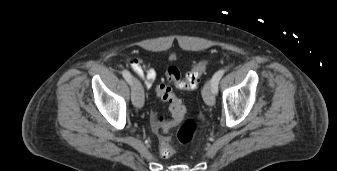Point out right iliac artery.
Returning a JSON list of instances; mask_svg holds the SVG:
<instances>
[{
	"label": "right iliac artery",
	"instance_id": "1",
	"mask_svg": "<svg viewBox=\"0 0 337 171\" xmlns=\"http://www.w3.org/2000/svg\"><path fill=\"white\" fill-rule=\"evenodd\" d=\"M122 75H123V77L125 78V80H126L129 84H131L132 76H131L130 72L127 71V70H123V71H122Z\"/></svg>",
	"mask_w": 337,
	"mask_h": 171
}]
</instances>
